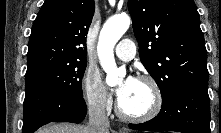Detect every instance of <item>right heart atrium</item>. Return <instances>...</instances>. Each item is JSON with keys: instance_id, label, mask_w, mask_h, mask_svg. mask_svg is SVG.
Returning <instances> with one entry per match:
<instances>
[{"instance_id": "d8ad5b80", "label": "right heart atrium", "mask_w": 221, "mask_h": 133, "mask_svg": "<svg viewBox=\"0 0 221 133\" xmlns=\"http://www.w3.org/2000/svg\"><path fill=\"white\" fill-rule=\"evenodd\" d=\"M82 95L88 108L97 113H107L112 106L110 94L96 70H86L82 78Z\"/></svg>"}]
</instances>
